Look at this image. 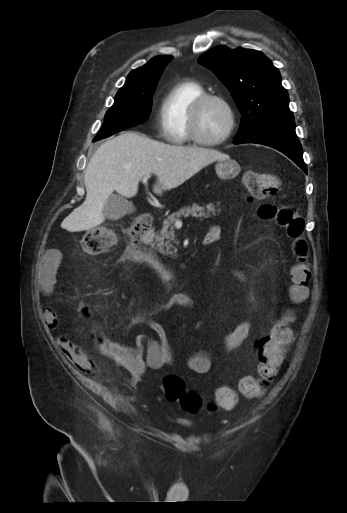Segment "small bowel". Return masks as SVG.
<instances>
[{"label": "small bowel", "instance_id": "1", "mask_svg": "<svg viewBox=\"0 0 347 513\" xmlns=\"http://www.w3.org/2000/svg\"><path fill=\"white\" fill-rule=\"evenodd\" d=\"M208 233L217 235L220 238V230L217 226H212ZM59 264L57 253H51L44 261L40 270L39 285L43 294L51 296L56 284V272ZM234 274L241 280H245V275L240 271H234ZM305 299V298H304ZM298 300V301H303ZM83 303V302H81ZM85 319L91 317L92 313L83 315ZM193 308L194 299L190 293L178 292L170 296L163 304L159 306L160 311L168 310L173 307ZM44 318L49 326H54L57 322V314L54 309L48 308L44 313ZM143 321L141 317L136 318ZM148 327L156 334L157 339L147 335H138L133 346L109 345L107 347L108 355L120 366L126 368L132 375L134 382L139 381L147 369H160L164 366L172 365L175 356L169 336L164 327L151 319L145 320ZM251 323L246 320L239 324L232 332L224 337V348L227 352L237 350L249 337ZM262 342H258L256 347H260ZM58 346L61 351L69 358L74 360L82 370L90 372L92 365L77 345L66 338L58 340ZM281 362V361H280ZM188 367L195 373H208L212 366L211 353L209 351H196L187 358Z\"/></svg>", "mask_w": 347, "mask_h": 513}]
</instances>
